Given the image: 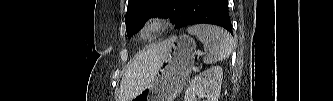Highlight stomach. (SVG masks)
<instances>
[{"label":"stomach","mask_w":333,"mask_h":101,"mask_svg":"<svg viewBox=\"0 0 333 101\" xmlns=\"http://www.w3.org/2000/svg\"><path fill=\"white\" fill-rule=\"evenodd\" d=\"M162 63L147 87L131 101H173L183 89L191 73L196 43L187 35L166 40Z\"/></svg>","instance_id":"stomach-1"}]
</instances>
